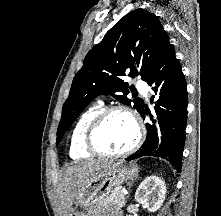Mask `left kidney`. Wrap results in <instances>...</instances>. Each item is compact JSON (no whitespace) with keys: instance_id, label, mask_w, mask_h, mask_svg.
I'll return each mask as SVG.
<instances>
[{"instance_id":"obj_1","label":"left kidney","mask_w":221,"mask_h":216,"mask_svg":"<svg viewBox=\"0 0 221 216\" xmlns=\"http://www.w3.org/2000/svg\"><path fill=\"white\" fill-rule=\"evenodd\" d=\"M165 195V182L158 176L151 175L139 185L135 193V200L149 212H155L162 206Z\"/></svg>"}]
</instances>
